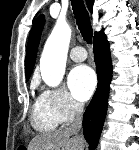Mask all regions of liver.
<instances>
[{"label": "liver", "instance_id": "liver-1", "mask_svg": "<svg viewBox=\"0 0 139 150\" xmlns=\"http://www.w3.org/2000/svg\"><path fill=\"white\" fill-rule=\"evenodd\" d=\"M84 140L73 136L67 129L54 133H44L32 139L28 150H83Z\"/></svg>", "mask_w": 139, "mask_h": 150}]
</instances>
